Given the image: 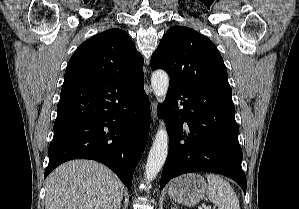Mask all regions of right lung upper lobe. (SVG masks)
I'll use <instances>...</instances> for the list:
<instances>
[{"mask_svg":"<svg viewBox=\"0 0 299 209\" xmlns=\"http://www.w3.org/2000/svg\"><path fill=\"white\" fill-rule=\"evenodd\" d=\"M143 57L120 29L101 32L83 42L69 60L63 86L120 79L129 85L144 80Z\"/></svg>","mask_w":299,"mask_h":209,"instance_id":"obj_1","label":"right lung upper lobe"}]
</instances>
